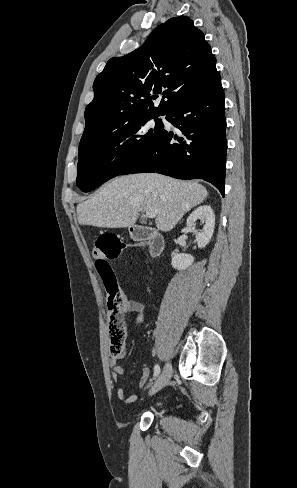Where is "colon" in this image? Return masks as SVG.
<instances>
[{
  "instance_id": "5ec220e1",
  "label": "colon",
  "mask_w": 297,
  "mask_h": 488,
  "mask_svg": "<svg viewBox=\"0 0 297 488\" xmlns=\"http://www.w3.org/2000/svg\"><path fill=\"white\" fill-rule=\"evenodd\" d=\"M135 247L137 245L124 243L115 234L103 233L96 240L93 249L95 266L107 292L109 346L113 357H119L125 351L128 299L117 283L110 260L118 258L124 250Z\"/></svg>"
}]
</instances>
